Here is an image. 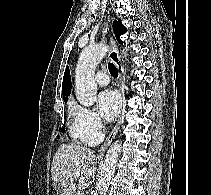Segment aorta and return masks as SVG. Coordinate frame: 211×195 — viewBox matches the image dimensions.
Returning <instances> with one entry per match:
<instances>
[{
  "mask_svg": "<svg viewBox=\"0 0 211 195\" xmlns=\"http://www.w3.org/2000/svg\"><path fill=\"white\" fill-rule=\"evenodd\" d=\"M108 50L107 45L100 43L85 48L80 54L75 70V94L77 100L84 106H91L96 101L97 85L94 80V73ZM121 148L120 141L114 142L109 148L101 169L95 195H106Z\"/></svg>",
  "mask_w": 211,
  "mask_h": 195,
  "instance_id": "obj_1",
  "label": "aorta"
}]
</instances>
